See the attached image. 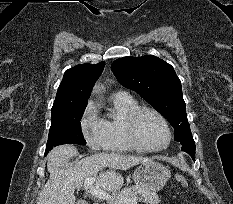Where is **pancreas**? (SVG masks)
Wrapping results in <instances>:
<instances>
[{"label": "pancreas", "mask_w": 233, "mask_h": 204, "mask_svg": "<svg viewBox=\"0 0 233 204\" xmlns=\"http://www.w3.org/2000/svg\"><path fill=\"white\" fill-rule=\"evenodd\" d=\"M116 198H136L138 201L145 204H158L160 202L159 196L155 192L137 185L124 188ZM109 204H116V202H111Z\"/></svg>", "instance_id": "cf45deb5"}]
</instances>
